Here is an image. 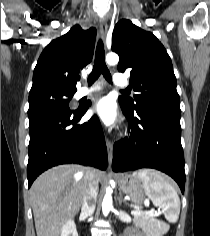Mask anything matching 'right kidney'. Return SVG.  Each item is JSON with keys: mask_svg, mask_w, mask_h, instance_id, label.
<instances>
[{"mask_svg": "<svg viewBox=\"0 0 210 236\" xmlns=\"http://www.w3.org/2000/svg\"><path fill=\"white\" fill-rule=\"evenodd\" d=\"M60 236H78V232L76 230V226L73 220H68L62 230Z\"/></svg>", "mask_w": 210, "mask_h": 236, "instance_id": "ca27d5eb", "label": "right kidney"}]
</instances>
